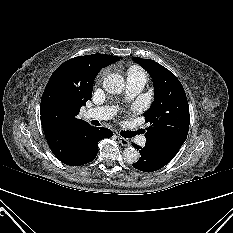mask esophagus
<instances>
[{"label":"esophagus","mask_w":233,"mask_h":233,"mask_svg":"<svg viewBox=\"0 0 233 233\" xmlns=\"http://www.w3.org/2000/svg\"><path fill=\"white\" fill-rule=\"evenodd\" d=\"M118 141L122 146H126V147L130 146V141L126 138L119 136Z\"/></svg>","instance_id":"obj_1"}]
</instances>
